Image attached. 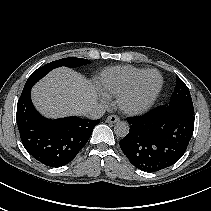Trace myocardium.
I'll use <instances>...</instances> for the list:
<instances>
[{"label": "myocardium", "instance_id": "myocardium-1", "mask_svg": "<svg viewBox=\"0 0 211 211\" xmlns=\"http://www.w3.org/2000/svg\"><path fill=\"white\" fill-rule=\"evenodd\" d=\"M151 73H156L159 75L160 77L159 87L144 103L134 104L133 100L137 95L143 80L147 75ZM163 85H164V79L159 71L155 69L146 70L134 81V83L125 92H123L121 95L118 96L117 100L118 106L124 113L129 115L143 114L153 107L163 89Z\"/></svg>", "mask_w": 211, "mask_h": 211}]
</instances>
